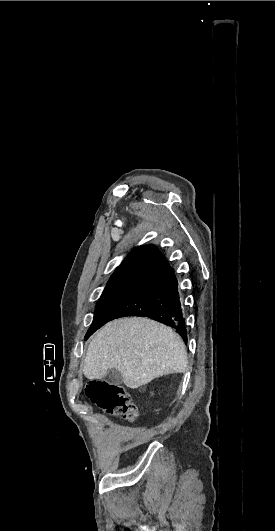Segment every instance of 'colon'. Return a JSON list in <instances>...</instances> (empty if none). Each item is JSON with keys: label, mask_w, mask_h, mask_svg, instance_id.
Segmentation results:
<instances>
[{"label": "colon", "mask_w": 275, "mask_h": 531, "mask_svg": "<svg viewBox=\"0 0 275 531\" xmlns=\"http://www.w3.org/2000/svg\"><path fill=\"white\" fill-rule=\"evenodd\" d=\"M86 394L98 408L108 414L128 421H133L138 415L128 392L115 382L93 380L87 385Z\"/></svg>", "instance_id": "1"}]
</instances>
